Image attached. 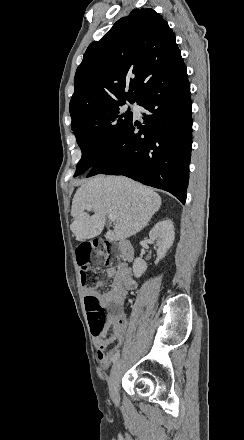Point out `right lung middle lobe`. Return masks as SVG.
I'll use <instances>...</instances> for the list:
<instances>
[{"instance_id":"obj_1","label":"right lung middle lobe","mask_w":244,"mask_h":440,"mask_svg":"<svg viewBox=\"0 0 244 440\" xmlns=\"http://www.w3.org/2000/svg\"><path fill=\"white\" fill-rule=\"evenodd\" d=\"M136 98L105 99L70 110L71 128L82 151L74 177L85 173L109 150L133 119L121 106Z\"/></svg>"}]
</instances>
